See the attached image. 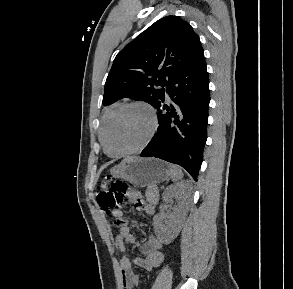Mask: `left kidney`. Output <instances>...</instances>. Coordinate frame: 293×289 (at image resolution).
<instances>
[{
  "instance_id": "1",
  "label": "left kidney",
  "mask_w": 293,
  "mask_h": 289,
  "mask_svg": "<svg viewBox=\"0 0 293 289\" xmlns=\"http://www.w3.org/2000/svg\"><path fill=\"white\" fill-rule=\"evenodd\" d=\"M190 189L189 181H181L169 186L163 193V202L169 205L173 202V198L178 201V205L174 208L171 220L163 224L164 215L157 214L153 218V226L157 238L165 243H171L179 234L183 220L187 211V192Z\"/></svg>"
}]
</instances>
